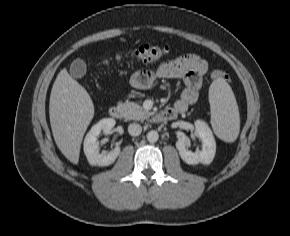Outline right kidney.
I'll list each match as a JSON object with an SVG mask.
<instances>
[{
	"mask_svg": "<svg viewBox=\"0 0 290 236\" xmlns=\"http://www.w3.org/2000/svg\"><path fill=\"white\" fill-rule=\"evenodd\" d=\"M115 120L113 118H104L94 124L90 131L87 133L84 139V153L90 165L93 166H108L116 160L120 154V147L116 146L108 154L99 153V142L97 137L103 131L109 133L115 126Z\"/></svg>",
	"mask_w": 290,
	"mask_h": 236,
	"instance_id": "right-kidney-1",
	"label": "right kidney"
}]
</instances>
